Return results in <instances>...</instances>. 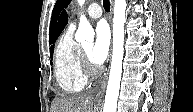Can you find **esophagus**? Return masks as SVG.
I'll return each mask as SVG.
<instances>
[{"instance_id": "34e87169", "label": "esophagus", "mask_w": 193, "mask_h": 112, "mask_svg": "<svg viewBox=\"0 0 193 112\" xmlns=\"http://www.w3.org/2000/svg\"><path fill=\"white\" fill-rule=\"evenodd\" d=\"M112 11H113V1H111V17H112ZM106 84H107V76L105 77L102 85H101V88L99 90V92L97 93L96 95V99L98 101H101L104 97V93H105V89H106Z\"/></svg>"}]
</instances>
